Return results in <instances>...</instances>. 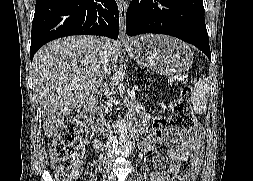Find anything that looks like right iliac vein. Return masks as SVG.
Wrapping results in <instances>:
<instances>
[{"label":"right iliac vein","mask_w":253,"mask_h":181,"mask_svg":"<svg viewBox=\"0 0 253 181\" xmlns=\"http://www.w3.org/2000/svg\"><path fill=\"white\" fill-rule=\"evenodd\" d=\"M112 176L111 175H109V174H106L105 176H104V179H103V181H112Z\"/></svg>","instance_id":"63e3f726"}]
</instances>
